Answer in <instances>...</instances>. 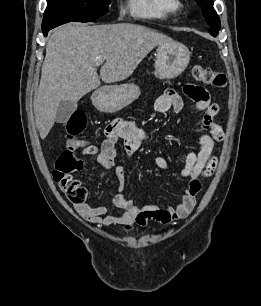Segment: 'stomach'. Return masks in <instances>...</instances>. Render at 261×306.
Wrapping results in <instances>:
<instances>
[{"label":"stomach","mask_w":261,"mask_h":306,"mask_svg":"<svg viewBox=\"0 0 261 306\" xmlns=\"http://www.w3.org/2000/svg\"><path fill=\"white\" fill-rule=\"evenodd\" d=\"M190 52L182 43L171 41L159 44L155 60V71L161 79L178 77L188 66ZM140 95V89L135 84L106 86L92 95L94 106L103 112L118 111Z\"/></svg>","instance_id":"1"}]
</instances>
